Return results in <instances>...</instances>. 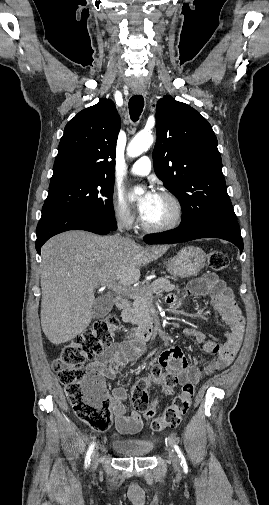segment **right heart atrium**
Listing matches in <instances>:
<instances>
[{
    "label": "right heart atrium",
    "mask_w": 269,
    "mask_h": 505,
    "mask_svg": "<svg viewBox=\"0 0 269 505\" xmlns=\"http://www.w3.org/2000/svg\"><path fill=\"white\" fill-rule=\"evenodd\" d=\"M111 206L114 218L118 224L126 228H130L134 225V212L121 193L114 192L112 196Z\"/></svg>",
    "instance_id": "d8ad5b80"
}]
</instances>
